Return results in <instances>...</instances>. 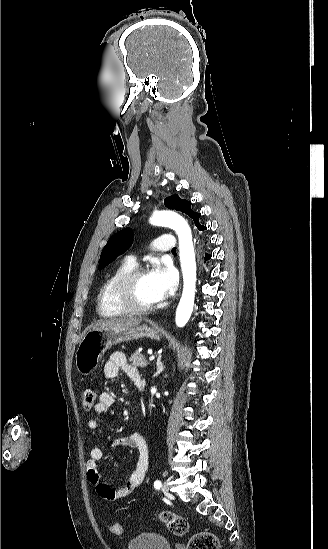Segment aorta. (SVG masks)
<instances>
[{"label": "aorta", "mask_w": 328, "mask_h": 549, "mask_svg": "<svg viewBox=\"0 0 328 549\" xmlns=\"http://www.w3.org/2000/svg\"><path fill=\"white\" fill-rule=\"evenodd\" d=\"M150 223L172 228L179 238L183 292L177 307L175 323L178 327H184L193 311L196 288V261L191 229L182 216L169 210L155 212Z\"/></svg>", "instance_id": "1"}]
</instances>
